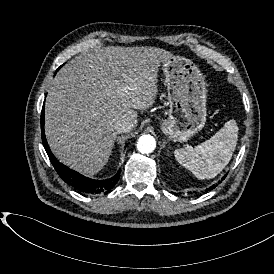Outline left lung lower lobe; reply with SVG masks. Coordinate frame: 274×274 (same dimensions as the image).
I'll return each instance as SVG.
<instances>
[{
    "mask_svg": "<svg viewBox=\"0 0 274 274\" xmlns=\"http://www.w3.org/2000/svg\"><path fill=\"white\" fill-rule=\"evenodd\" d=\"M227 175V174H226ZM226 175L222 178L223 180L225 179ZM213 188H215V185L211 186L210 188L207 189V191L212 190Z\"/></svg>",
    "mask_w": 274,
    "mask_h": 274,
    "instance_id": "0a47b994",
    "label": "left lung lower lobe"
}]
</instances>
